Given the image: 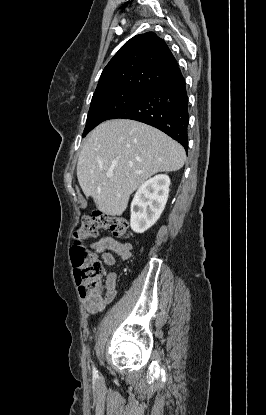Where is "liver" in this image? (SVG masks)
Returning a JSON list of instances; mask_svg holds the SVG:
<instances>
[{
    "label": "liver",
    "instance_id": "6515ba94",
    "mask_svg": "<svg viewBox=\"0 0 266 415\" xmlns=\"http://www.w3.org/2000/svg\"><path fill=\"white\" fill-rule=\"evenodd\" d=\"M184 148L160 130L130 119L108 120L84 139L77 178L104 214L120 216L130 195L158 172L181 169ZM107 173L113 176L108 178Z\"/></svg>",
    "mask_w": 266,
    "mask_h": 415
}]
</instances>
